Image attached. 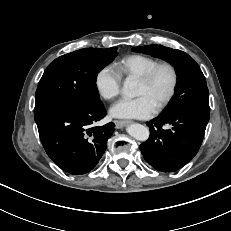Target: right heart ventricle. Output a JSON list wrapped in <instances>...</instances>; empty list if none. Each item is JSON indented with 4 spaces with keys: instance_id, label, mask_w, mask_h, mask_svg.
I'll list each match as a JSON object with an SVG mask.
<instances>
[{
    "instance_id": "e07e8e85",
    "label": "right heart ventricle",
    "mask_w": 231,
    "mask_h": 231,
    "mask_svg": "<svg viewBox=\"0 0 231 231\" xmlns=\"http://www.w3.org/2000/svg\"><path fill=\"white\" fill-rule=\"evenodd\" d=\"M158 63V60L143 54H131L123 57L115 63V69L121 76L140 77L153 66Z\"/></svg>"
}]
</instances>
